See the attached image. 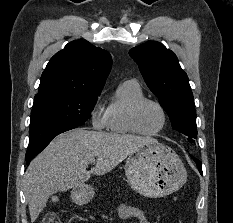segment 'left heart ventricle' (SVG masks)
Returning <instances> with one entry per match:
<instances>
[{
  "mask_svg": "<svg viewBox=\"0 0 233 223\" xmlns=\"http://www.w3.org/2000/svg\"><path fill=\"white\" fill-rule=\"evenodd\" d=\"M139 122L145 132L153 133L162 129L164 116L158 106L147 103L140 112Z\"/></svg>",
  "mask_w": 233,
  "mask_h": 223,
  "instance_id": "1",
  "label": "left heart ventricle"
}]
</instances>
